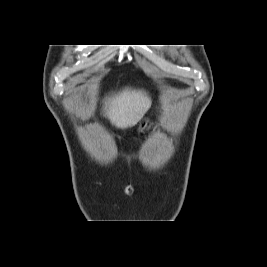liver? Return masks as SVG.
Masks as SVG:
<instances>
[{
  "mask_svg": "<svg viewBox=\"0 0 267 267\" xmlns=\"http://www.w3.org/2000/svg\"><path fill=\"white\" fill-rule=\"evenodd\" d=\"M151 104V98L144 91L125 88L106 97L103 110L112 125L126 129L137 124Z\"/></svg>",
  "mask_w": 267,
  "mask_h": 267,
  "instance_id": "1",
  "label": "liver"
}]
</instances>
